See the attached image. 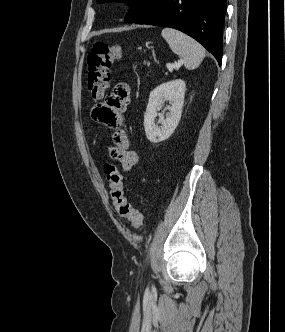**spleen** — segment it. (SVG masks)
<instances>
[{
  "instance_id": "1",
  "label": "spleen",
  "mask_w": 285,
  "mask_h": 332,
  "mask_svg": "<svg viewBox=\"0 0 285 332\" xmlns=\"http://www.w3.org/2000/svg\"><path fill=\"white\" fill-rule=\"evenodd\" d=\"M162 37L171 50L182 58L189 70L197 68L205 57V49L193 38L173 28H164Z\"/></svg>"
}]
</instances>
